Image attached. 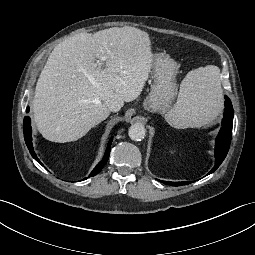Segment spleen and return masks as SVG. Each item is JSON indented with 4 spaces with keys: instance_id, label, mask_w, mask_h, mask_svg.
Returning <instances> with one entry per match:
<instances>
[{
    "instance_id": "obj_1",
    "label": "spleen",
    "mask_w": 255,
    "mask_h": 255,
    "mask_svg": "<svg viewBox=\"0 0 255 255\" xmlns=\"http://www.w3.org/2000/svg\"><path fill=\"white\" fill-rule=\"evenodd\" d=\"M223 91L220 69L214 65L187 73L182 80L176 104L165 115L174 128H199L218 114Z\"/></svg>"
}]
</instances>
